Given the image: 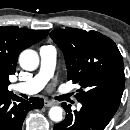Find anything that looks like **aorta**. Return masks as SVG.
<instances>
[{
	"mask_svg": "<svg viewBox=\"0 0 130 130\" xmlns=\"http://www.w3.org/2000/svg\"><path fill=\"white\" fill-rule=\"evenodd\" d=\"M19 63L23 69L33 71L39 65V56L34 50H24L19 56ZM49 117L54 122H61L63 120V109L59 106L51 107Z\"/></svg>",
	"mask_w": 130,
	"mask_h": 130,
	"instance_id": "762f6f07",
	"label": "aorta"
}]
</instances>
